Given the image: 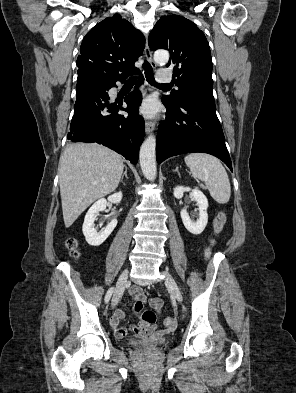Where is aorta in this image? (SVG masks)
Masks as SVG:
<instances>
[{
	"mask_svg": "<svg viewBox=\"0 0 296 393\" xmlns=\"http://www.w3.org/2000/svg\"><path fill=\"white\" fill-rule=\"evenodd\" d=\"M154 60L157 63H166L169 60V53L166 50H158L154 53ZM156 138L150 135L142 143L139 153L140 166L143 175L150 181L156 178Z\"/></svg>",
	"mask_w": 296,
	"mask_h": 393,
	"instance_id": "1",
	"label": "aorta"
}]
</instances>
